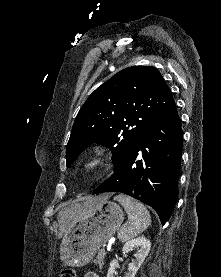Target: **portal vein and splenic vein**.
<instances>
[{
    "mask_svg": "<svg viewBox=\"0 0 221 277\" xmlns=\"http://www.w3.org/2000/svg\"><path fill=\"white\" fill-rule=\"evenodd\" d=\"M101 250H102V251H105V248H102Z\"/></svg>",
    "mask_w": 221,
    "mask_h": 277,
    "instance_id": "obj_1",
    "label": "portal vein and splenic vein"
}]
</instances>
